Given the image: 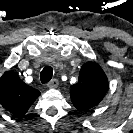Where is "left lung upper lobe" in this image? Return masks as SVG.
Wrapping results in <instances>:
<instances>
[{
  "label": "left lung upper lobe",
  "instance_id": "obj_1",
  "mask_svg": "<svg viewBox=\"0 0 133 133\" xmlns=\"http://www.w3.org/2000/svg\"><path fill=\"white\" fill-rule=\"evenodd\" d=\"M108 88V80L102 68L94 62L85 63L80 70L78 82L71 86L73 105L86 111L101 102Z\"/></svg>",
  "mask_w": 133,
  "mask_h": 133
}]
</instances>
